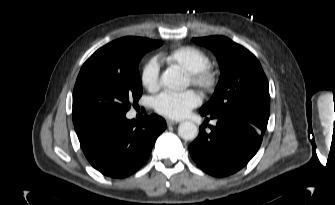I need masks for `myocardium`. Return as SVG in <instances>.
<instances>
[{
	"mask_svg": "<svg viewBox=\"0 0 335 205\" xmlns=\"http://www.w3.org/2000/svg\"><path fill=\"white\" fill-rule=\"evenodd\" d=\"M189 77L193 85L206 92L214 90L219 80L218 72L210 65L190 73Z\"/></svg>",
	"mask_w": 335,
	"mask_h": 205,
	"instance_id": "f54148a6",
	"label": "myocardium"
}]
</instances>
